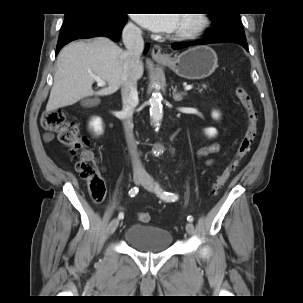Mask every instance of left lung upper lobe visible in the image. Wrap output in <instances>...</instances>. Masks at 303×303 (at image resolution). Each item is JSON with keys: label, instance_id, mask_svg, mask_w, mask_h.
I'll return each mask as SVG.
<instances>
[{"label": "left lung upper lobe", "instance_id": "left-lung-upper-lobe-1", "mask_svg": "<svg viewBox=\"0 0 303 303\" xmlns=\"http://www.w3.org/2000/svg\"><path fill=\"white\" fill-rule=\"evenodd\" d=\"M213 26L205 33L206 36H215L223 34L245 35L240 14L238 13H215L211 16Z\"/></svg>", "mask_w": 303, "mask_h": 303}]
</instances>
